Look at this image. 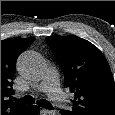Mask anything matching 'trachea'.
Segmentation results:
<instances>
[{
    "mask_svg": "<svg viewBox=\"0 0 115 115\" xmlns=\"http://www.w3.org/2000/svg\"><path fill=\"white\" fill-rule=\"evenodd\" d=\"M15 101L19 102V103H23V104H33L35 102V99L30 96V95H26L20 99H15ZM36 104L42 108H46L49 110H53V106L50 102H48L45 99H40L36 102Z\"/></svg>",
    "mask_w": 115,
    "mask_h": 115,
    "instance_id": "obj_1",
    "label": "trachea"
}]
</instances>
